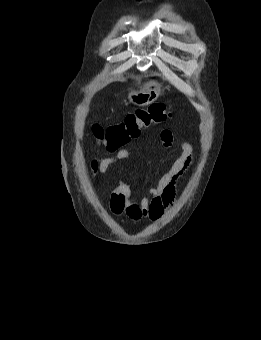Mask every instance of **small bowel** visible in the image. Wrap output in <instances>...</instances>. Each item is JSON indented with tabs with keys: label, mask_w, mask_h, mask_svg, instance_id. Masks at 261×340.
I'll list each match as a JSON object with an SVG mask.
<instances>
[{
	"label": "small bowel",
	"mask_w": 261,
	"mask_h": 340,
	"mask_svg": "<svg viewBox=\"0 0 261 340\" xmlns=\"http://www.w3.org/2000/svg\"><path fill=\"white\" fill-rule=\"evenodd\" d=\"M161 143L165 148L173 144V134L164 129L160 133ZM115 151V150H114ZM194 149L188 142L181 144V154L171 167L158 180L154 187L148 189L145 196L138 199L137 192L127 184H119L110 195L109 208L114 216H124L131 221L143 219L157 221L164 211L173 203L179 180L189 169L193 161ZM130 157L127 149L118 150L115 155L93 159L90 167L93 178L103 176L111 166L121 165Z\"/></svg>",
	"instance_id": "1"
}]
</instances>
